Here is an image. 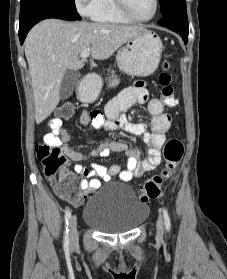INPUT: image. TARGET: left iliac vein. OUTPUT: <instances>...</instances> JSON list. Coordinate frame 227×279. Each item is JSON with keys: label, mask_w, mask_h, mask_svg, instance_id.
Here are the masks:
<instances>
[{"label": "left iliac vein", "mask_w": 227, "mask_h": 279, "mask_svg": "<svg viewBox=\"0 0 227 279\" xmlns=\"http://www.w3.org/2000/svg\"><path fill=\"white\" fill-rule=\"evenodd\" d=\"M157 231L160 236L163 235V221L161 216H159L157 220Z\"/></svg>", "instance_id": "obj_1"}]
</instances>
